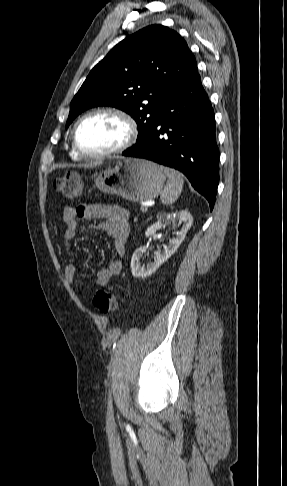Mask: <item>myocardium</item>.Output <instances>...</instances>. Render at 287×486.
Listing matches in <instances>:
<instances>
[{
	"label": "myocardium",
	"instance_id": "1",
	"mask_svg": "<svg viewBox=\"0 0 287 486\" xmlns=\"http://www.w3.org/2000/svg\"><path fill=\"white\" fill-rule=\"evenodd\" d=\"M100 114H110L118 117L125 125L126 127V136L125 139L121 144L118 146L103 151V152H88L82 149V147L78 143V130L81 126V124L87 120L90 117H93L95 115H100ZM138 136V127L137 123L134 120V118L127 113L126 111L116 108V107H101L97 108L94 110H91L84 115H82L77 122L75 123L72 131V147L74 151L79 155L84 158H89V159H101V158H107L115 154H119L126 149H128L133 143L136 141Z\"/></svg>",
	"mask_w": 287,
	"mask_h": 486
}]
</instances>
